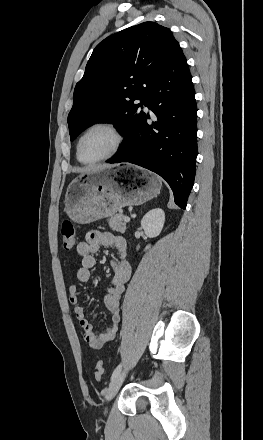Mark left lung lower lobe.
Wrapping results in <instances>:
<instances>
[{
	"mask_svg": "<svg viewBox=\"0 0 263 440\" xmlns=\"http://www.w3.org/2000/svg\"><path fill=\"white\" fill-rule=\"evenodd\" d=\"M192 77L185 56L173 44L148 88L141 112L117 154L108 163L129 162L160 175L170 185L175 203L185 209L195 177L197 109Z\"/></svg>",
	"mask_w": 263,
	"mask_h": 440,
	"instance_id": "0a47b994",
	"label": "left lung lower lobe"
}]
</instances>
